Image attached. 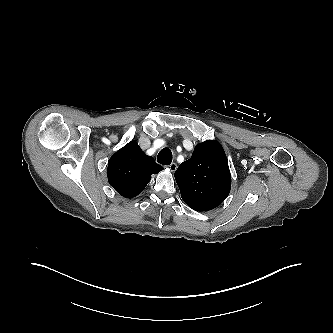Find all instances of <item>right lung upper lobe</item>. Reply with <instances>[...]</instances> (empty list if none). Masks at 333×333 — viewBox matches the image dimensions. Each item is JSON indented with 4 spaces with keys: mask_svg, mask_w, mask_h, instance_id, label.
<instances>
[{
    "mask_svg": "<svg viewBox=\"0 0 333 333\" xmlns=\"http://www.w3.org/2000/svg\"><path fill=\"white\" fill-rule=\"evenodd\" d=\"M163 169L153 157L147 156L131 141L111 156L107 176L109 184L123 197L137 196L148 184L152 174Z\"/></svg>",
    "mask_w": 333,
    "mask_h": 333,
    "instance_id": "cb5924a9",
    "label": "right lung upper lobe"
}]
</instances>
